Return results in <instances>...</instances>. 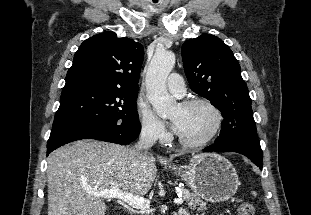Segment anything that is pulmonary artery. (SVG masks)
<instances>
[{"instance_id": "e3ab8cb5", "label": "pulmonary artery", "mask_w": 311, "mask_h": 215, "mask_svg": "<svg viewBox=\"0 0 311 215\" xmlns=\"http://www.w3.org/2000/svg\"><path fill=\"white\" fill-rule=\"evenodd\" d=\"M167 87L177 97H183L186 91L183 77L178 73H172L167 79Z\"/></svg>"}]
</instances>
